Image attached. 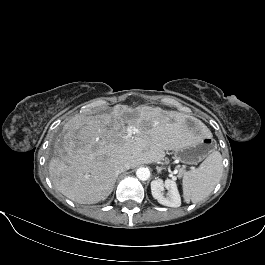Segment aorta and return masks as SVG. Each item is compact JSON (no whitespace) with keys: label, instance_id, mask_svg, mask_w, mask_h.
<instances>
[{"label":"aorta","instance_id":"obj_1","mask_svg":"<svg viewBox=\"0 0 265 265\" xmlns=\"http://www.w3.org/2000/svg\"><path fill=\"white\" fill-rule=\"evenodd\" d=\"M136 176L141 181H146L150 178V171L148 168L140 167L136 171Z\"/></svg>","mask_w":265,"mask_h":265}]
</instances>
